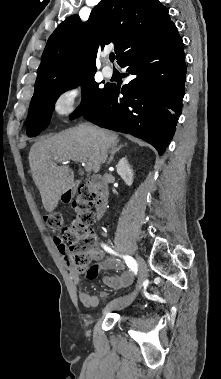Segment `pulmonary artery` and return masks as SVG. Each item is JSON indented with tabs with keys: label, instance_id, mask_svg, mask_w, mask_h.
<instances>
[{
	"label": "pulmonary artery",
	"instance_id": "obj_1",
	"mask_svg": "<svg viewBox=\"0 0 221 379\" xmlns=\"http://www.w3.org/2000/svg\"><path fill=\"white\" fill-rule=\"evenodd\" d=\"M102 73L105 77L109 78L113 75V69L109 66H105L102 69Z\"/></svg>",
	"mask_w": 221,
	"mask_h": 379
}]
</instances>
